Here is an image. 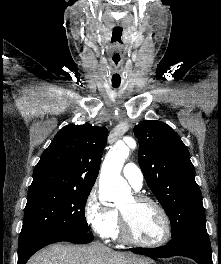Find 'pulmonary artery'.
<instances>
[{"mask_svg":"<svg viewBox=\"0 0 221 264\" xmlns=\"http://www.w3.org/2000/svg\"><path fill=\"white\" fill-rule=\"evenodd\" d=\"M122 174L135 190L141 189L144 177L141 169L136 164L127 163Z\"/></svg>","mask_w":221,"mask_h":264,"instance_id":"e3ab8cb5","label":"pulmonary artery"}]
</instances>
